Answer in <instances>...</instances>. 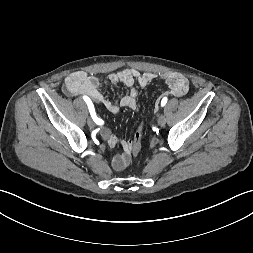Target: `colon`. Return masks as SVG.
Segmentation results:
<instances>
[{
  "label": "colon",
  "mask_w": 253,
  "mask_h": 253,
  "mask_svg": "<svg viewBox=\"0 0 253 253\" xmlns=\"http://www.w3.org/2000/svg\"><path fill=\"white\" fill-rule=\"evenodd\" d=\"M142 126L139 125L135 131L134 137L131 141V152L134 156H138L142 149Z\"/></svg>",
  "instance_id": "colon-1"
}]
</instances>
